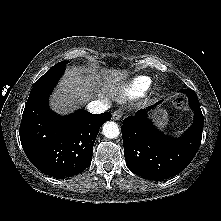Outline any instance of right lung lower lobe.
Masks as SVG:
<instances>
[{
    "mask_svg": "<svg viewBox=\"0 0 221 221\" xmlns=\"http://www.w3.org/2000/svg\"><path fill=\"white\" fill-rule=\"evenodd\" d=\"M52 89L29 96L19 135L27 158L36 168L65 178L89 167L100 126L111 119V113L78 110L67 117L58 116L48 106Z\"/></svg>",
    "mask_w": 221,
    "mask_h": 221,
    "instance_id": "obj_1",
    "label": "right lung lower lobe"
}]
</instances>
